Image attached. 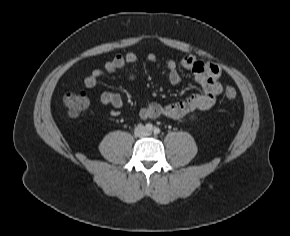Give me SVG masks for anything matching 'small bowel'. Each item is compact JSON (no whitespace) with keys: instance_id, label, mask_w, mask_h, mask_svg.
Wrapping results in <instances>:
<instances>
[{"instance_id":"1","label":"small bowel","mask_w":290,"mask_h":236,"mask_svg":"<svg viewBox=\"0 0 290 236\" xmlns=\"http://www.w3.org/2000/svg\"><path fill=\"white\" fill-rule=\"evenodd\" d=\"M148 62L156 63L157 57L154 54H149ZM138 58L135 53L128 52L124 55H116L112 59L105 62L103 67L95 68L84 78V85L87 88H93L98 80L105 72L113 73L126 66L136 64ZM179 65L188 71H191L201 86L200 92L194 93L186 99L170 104H150L139 111V116L142 119L166 117L170 119H181L191 114L196 110H207L211 108L222 92V86L218 81L220 76V68L214 63H205L197 60L193 56H185L178 64L174 60L166 62L168 70V80L172 85H178L181 82V74ZM129 78L133 80L134 74H130ZM100 102L104 105H111L115 108L123 106V98L118 93L104 92L100 95Z\"/></svg>"}]
</instances>
